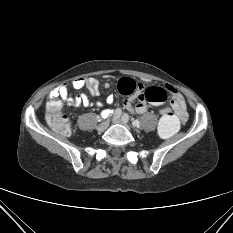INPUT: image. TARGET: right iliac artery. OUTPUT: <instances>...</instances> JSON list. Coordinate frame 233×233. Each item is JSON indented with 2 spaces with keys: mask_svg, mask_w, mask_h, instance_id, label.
Instances as JSON below:
<instances>
[{
  "mask_svg": "<svg viewBox=\"0 0 233 233\" xmlns=\"http://www.w3.org/2000/svg\"><path fill=\"white\" fill-rule=\"evenodd\" d=\"M105 111V110H104ZM103 112V111H102ZM102 114V113H101ZM122 114V111L121 109L117 108L115 111H114V115H113V118H119Z\"/></svg>",
  "mask_w": 233,
  "mask_h": 233,
  "instance_id": "obj_1",
  "label": "right iliac artery"
}]
</instances>
